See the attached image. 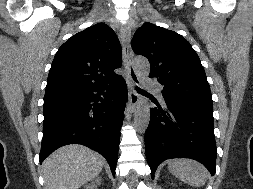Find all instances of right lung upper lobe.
<instances>
[{"label":"right lung upper lobe","mask_w":253,"mask_h":189,"mask_svg":"<svg viewBox=\"0 0 253 189\" xmlns=\"http://www.w3.org/2000/svg\"><path fill=\"white\" fill-rule=\"evenodd\" d=\"M121 46L115 32L98 23L75 34L56 53L46 92L108 84L120 75Z\"/></svg>","instance_id":"cb5924a9"}]
</instances>
